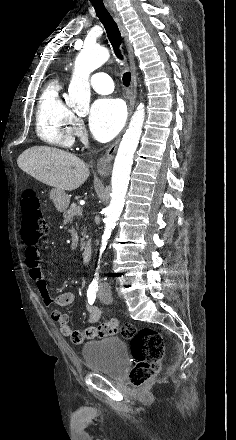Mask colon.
I'll list each match as a JSON object with an SVG mask.
<instances>
[{"label": "colon", "mask_w": 236, "mask_h": 440, "mask_svg": "<svg viewBox=\"0 0 236 440\" xmlns=\"http://www.w3.org/2000/svg\"><path fill=\"white\" fill-rule=\"evenodd\" d=\"M22 239L34 245L48 232V225L41 209L38 196L33 191H25L21 201ZM119 329L115 330V333ZM123 337L131 340V352L136 361L130 372V382L140 386L152 379L160 370L164 354V344L158 331L152 328L138 329L125 324L120 329Z\"/></svg>", "instance_id": "1"}]
</instances>
